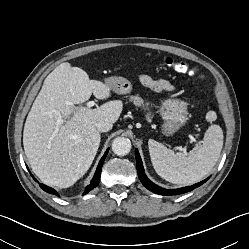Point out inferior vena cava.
Masks as SVG:
<instances>
[{
	"label": "inferior vena cava",
	"mask_w": 249,
	"mask_h": 249,
	"mask_svg": "<svg viewBox=\"0 0 249 249\" xmlns=\"http://www.w3.org/2000/svg\"><path fill=\"white\" fill-rule=\"evenodd\" d=\"M111 128H112V124H110L107 121H100L97 123V130L99 132H107L111 130Z\"/></svg>",
	"instance_id": "1"
}]
</instances>
